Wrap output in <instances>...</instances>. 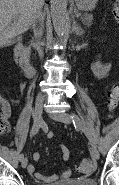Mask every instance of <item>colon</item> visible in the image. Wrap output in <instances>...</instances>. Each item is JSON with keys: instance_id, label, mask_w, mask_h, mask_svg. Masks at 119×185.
<instances>
[{"instance_id": "5ec220e1", "label": "colon", "mask_w": 119, "mask_h": 185, "mask_svg": "<svg viewBox=\"0 0 119 185\" xmlns=\"http://www.w3.org/2000/svg\"><path fill=\"white\" fill-rule=\"evenodd\" d=\"M113 15H114V18L117 21H119V8L118 7H115L113 9ZM118 101H119V83H115L111 87V90L108 95V102H107L108 108L111 112H113L116 109V107L118 105ZM9 131H10L9 118L3 110L2 103H0V133L6 134ZM93 170H94V164L89 159L83 160L77 166V171L83 175H88V174L92 173Z\"/></svg>"}]
</instances>
